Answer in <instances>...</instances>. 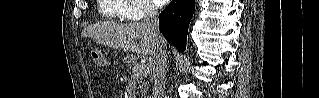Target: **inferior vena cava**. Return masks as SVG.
<instances>
[{
	"instance_id": "inferior-vena-cava-1",
	"label": "inferior vena cava",
	"mask_w": 319,
	"mask_h": 98,
	"mask_svg": "<svg viewBox=\"0 0 319 98\" xmlns=\"http://www.w3.org/2000/svg\"><path fill=\"white\" fill-rule=\"evenodd\" d=\"M142 24L147 28L156 44L154 52L155 68L153 69L152 79L154 82L152 98H163L167 74V53L165 40L159 31V20L157 10L152 3L145 6Z\"/></svg>"
}]
</instances>
